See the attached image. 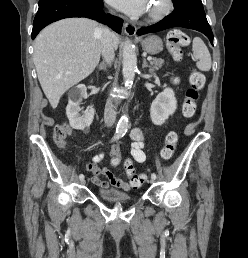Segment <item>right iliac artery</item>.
<instances>
[{
    "label": "right iliac artery",
    "instance_id": "82829eb1",
    "mask_svg": "<svg viewBox=\"0 0 248 258\" xmlns=\"http://www.w3.org/2000/svg\"><path fill=\"white\" fill-rule=\"evenodd\" d=\"M120 136H121V134L115 135V136L113 137L112 141H114V140H116V139H119ZM79 179H80V180H83V179H84V175H83V174H80V175H79Z\"/></svg>",
    "mask_w": 248,
    "mask_h": 258
}]
</instances>
